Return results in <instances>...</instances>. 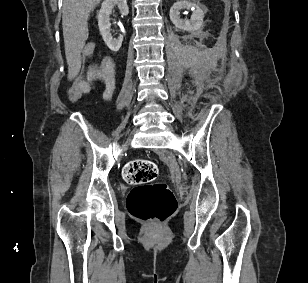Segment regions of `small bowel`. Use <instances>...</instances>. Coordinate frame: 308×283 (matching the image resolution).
Wrapping results in <instances>:
<instances>
[{
    "instance_id": "c3829d8e",
    "label": "small bowel",
    "mask_w": 308,
    "mask_h": 283,
    "mask_svg": "<svg viewBox=\"0 0 308 283\" xmlns=\"http://www.w3.org/2000/svg\"><path fill=\"white\" fill-rule=\"evenodd\" d=\"M79 63L80 58H76L71 62L69 68V74L71 77H75ZM85 81L89 91L93 88L96 82H103L106 85L105 96L111 98L115 90V78L112 62L105 59L99 65L90 66L87 70Z\"/></svg>"
}]
</instances>
